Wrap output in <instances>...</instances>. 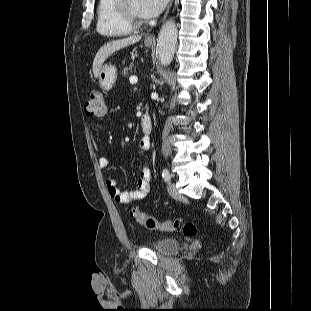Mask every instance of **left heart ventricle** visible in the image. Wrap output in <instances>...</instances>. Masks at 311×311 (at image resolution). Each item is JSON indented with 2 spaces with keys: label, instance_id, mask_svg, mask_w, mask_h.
<instances>
[{
  "label": "left heart ventricle",
  "instance_id": "1",
  "mask_svg": "<svg viewBox=\"0 0 311 311\" xmlns=\"http://www.w3.org/2000/svg\"><path fill=\"white\" fill-rule=\"evenodd\" d=\"M129 8L131 10V12L139 18H142L139 12V8H140V0H129L128 2Z\"/></svg>",
  "mask_w": 311,
  "mask_h": 311
}]
</instances>
